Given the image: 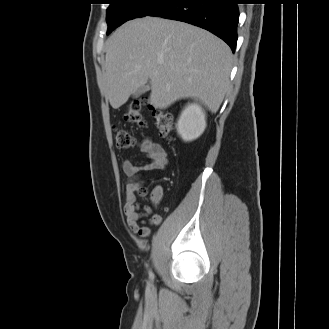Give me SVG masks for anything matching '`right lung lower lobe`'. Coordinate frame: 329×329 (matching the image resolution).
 Returning <instances> with one entry per match:
<instances>
[{
    "mask_svg": "<svg viewBox=\"0 0 329 329\" xmlns=\"http://www.w3.org/2000/svg\"><path fill=\"white\" fill-rule=\"evenodd\" d=\"M149 16L182 21L206 29L235 51L239 18L237 0H172Z\"/></svg>",
    "mask_w": 329,
    "mask_h": 329,
    "instance_id": "1",
    "label": "right lung lower lobe"
}]
</instances>
